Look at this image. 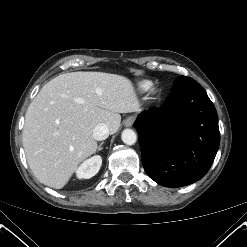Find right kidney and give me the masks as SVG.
I'll use <instances>...</instances> for the list:
<instances>
[{
    "label": "right kidney",
    "instance_id": "obj_1",
    "mask_svg": "<svg viewBox=\"0 0 247 247\" xmlns=\"http://www.w3.org/2000/svg\"><path fill=\"white\" fill-rule=\"evenodd\" d=\"M102 164V158L99 155L85 160L77 169L76 175L79 179H89L95 176Z\"/></svg>",
    "mask_w": 247,
    "mask_h": 247
}]
</instances>
